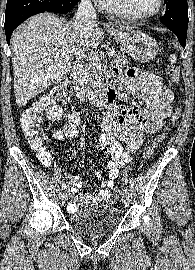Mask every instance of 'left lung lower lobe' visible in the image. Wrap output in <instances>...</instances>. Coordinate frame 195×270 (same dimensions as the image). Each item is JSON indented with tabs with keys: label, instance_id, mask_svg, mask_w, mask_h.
Returning a JSON list of instances; mask_svg holds the SVG:
<instances>
[{
	"label": "left lung lower lobe",
	"instance_id": "obj_1",
	"mask_svg": "<svg viewBox=\"0 0 195 270\" xmlns=\"http://www.w3.org/2000/svg\"><path fill=\"white\" fill-rule=\"evenodd\" d=\"M166 12L161 22L177 36L182 47L186 46L188 28L187 0H171L165 3Z\"/></svg>",
	"mask_w": 195,
	"mask_h": 270
}]
</instances>
